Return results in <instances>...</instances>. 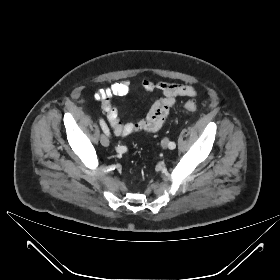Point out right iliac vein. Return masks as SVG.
<instances>
[{"instance_id":"1","label":"right iliac vein","mask_w":280,"mask_h":280,"mask_svg":"<svg viewBox=\"0 0 280 280\" xmlns=\"http://www.w3.org/2000/svg\"><path fill=\"white\" fill-rule=\"evenodd\" d=\"M100 143L102 144V146L107 147L109 146V139L105 135H101Z\"/></svg>"}]
</instances>
